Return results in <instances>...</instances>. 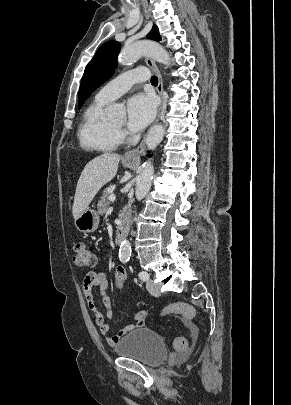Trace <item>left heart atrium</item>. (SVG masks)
I'll return each instance as SVG.
<instances>
[{"label": "left heart atrium", "instance_id": "1", "mask_svg": "<svg viewBox=\"0 0 291 405\" xmlns=\"http://www.w3.org/2000/svg\"><path fill=\"white\" fill-rule=\"evenodd\" d=\"M155 100L151 95L137 94L127 103V128L132 133L142 131L154 118Z\"/></svg>", "mask_w": 291, "mask_h": 405}]
</instances>
